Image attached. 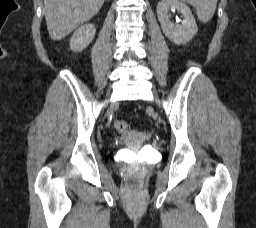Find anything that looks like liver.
Instances as JSON below:
<instances>
[{
  "label": "liver",
  "mask_w": 256,
  "mask_h": 228,
  "mask_svg": "<svg viewBox=\"0 0 256 228\" xmlns=\"http://www.w3.org/2000/svg\"><path fill=\"white\" fill-rule=\"evenodd\" d=\"M105 0H44L51 39L61 40L99 12Z\"/></svg>",
  "instance_id": "liver-1"
}]
</instances>
